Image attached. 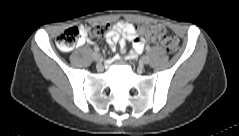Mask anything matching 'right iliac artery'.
Listing matches in <instances>:
<instances>
[{
    "instance_id": "obj_1",
    "label": "right iliac artery",
    "mask_w": 239,
    "mask_h": 136,
    "mask_svg": "<svg viewBox=\"0 0 239 136\" xmlns=\"http://www.w3.org/2000/svg\"><path fill=\"white\" fill-rule=\"evenodd\" d=\"M95 52H99V47H94Z\"/></svg>"
}]
</instances>
